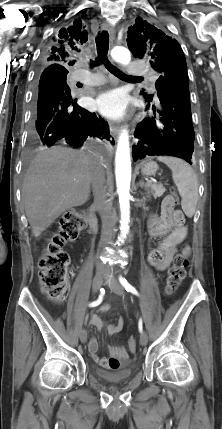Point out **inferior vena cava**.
<instances>
[{
  "instance_id": "obj_1",
  "label": "inferior vena cava",
  "mask_w": 222,
  "mask_h": 429,
  "mask_svg": "<svg viewBox=\"0 0 222 429\" xmlns=\"http://www.w3.org/2000/svg\"><path fill=\"white\" fill-rule=\"evenodd\" d=\"M92 188L94 201L102 220L101 243L105 245L112 236L116 217L112 213V206L108 200L109 193L105 183L104 162L102 156L98 157L92 167Z\"/></svg>"
}]
</instances>
